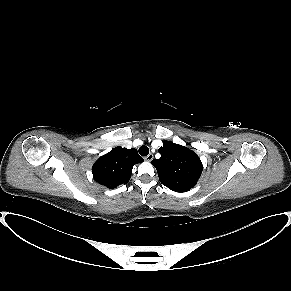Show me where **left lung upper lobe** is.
Returning <instances> with one entry per match:
<instances>
[{
  "label": "left lung upper lobe",
  "mask_w": 291,
  "mask_h": 291,
  "mask_svg": "<svg viewBox=\"0 0 291 291\" xmlns=\"http://www.w3.org/2000/svg\"><path fill=\"white\" fill-rule=\"evenodd\" d=\"M160 159L151 163L156 167L160 182L175 192H187L193 188L202 173L198 155L187 147L164 141L159 148Z\"/></svg>",
  "instance_id": "5c2ea615"
}]
</instances>
